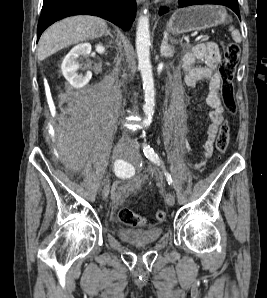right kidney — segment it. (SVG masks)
Here are the masks:
<instances>
[{
    "label": "right kidney",
    "instance_id": "1",
    "mask_svg": "<svg viewBox=\"0 0 267 298\" xmlns=\"http://www.w3.org/2000/svg\"><path fill=\"white\" fill-rule=\"evenodd\" d=\"M91 52L90 43H82L73 47L70 52L64 57L61 70L65 79L76 89L84 87L91 79L92 73L87 71L85 75H78L77 70L79 68L78 58L80 56H87ZM96 52L103 54L105 48L98 44L96 46Z\"/></svg>",
    "mask_w": 267,
    "mask_h": 298
}]
</instances>
